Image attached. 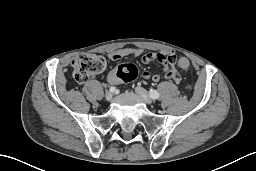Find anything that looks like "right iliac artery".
<instances>
[{"label": "right iliac artery", "instance_id": "obj_1", "mask_svg": "<svg viewBox=\"0 0 256 171\" xmlns=\"http://www.w3.org/2000/svg\"><path fill=\"white\" fill-rule=\"evenodd\" d=\"M115 91H116V88L112 86V87L110 88V92H115Z\"/></svg>", "mask_w": 256, "mask_h": 171}]
</instances>
